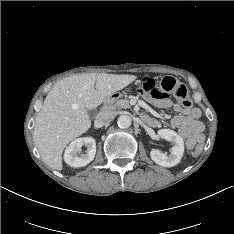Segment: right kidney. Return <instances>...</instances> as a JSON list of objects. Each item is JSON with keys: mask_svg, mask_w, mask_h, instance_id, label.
Here are the masks:
<instances>
[{"mask_svg": "<svg viewBox=\"0 0 234 234\" xmlns=\"http://www.w3.org/2000/svg\"><path fill=\"white\" fill-rule=\"evenodd\" d=\"M85 145L87 152L79 156L81 147ZM96 154V141L92 137H81L72 141L64 153L65 162L71 167H83L89 164Z\"/></svg>", "mask_w": 234, "mask_h": 234, "instance_id": "right-kidney-1", "label": "right kidney"}]
</instances>
